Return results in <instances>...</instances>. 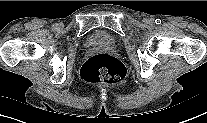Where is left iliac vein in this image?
Segmentation results:
<instances>
[{
	"instance_id": "4c4485c4",
	"label": "left iliac vein",
	"mask_w": 207,
	"mask_h": 123,
	"mask_svg": "<svg viewBox=\"0 0 207 123\" xmlns=\"http://www.w3.org/2000/svg\"><path fill=\"white\" fill-rule=\"evenodd\" d=\"M146 22H147L148 24H152V23H153V21L150 20V19L146 20Z\"/></svg>"
}]
</instances>
